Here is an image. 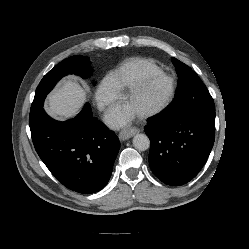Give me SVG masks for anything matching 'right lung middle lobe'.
I'll use <instances>...</instances> for the list:
<instances>
[{
  "label": "right lung middle lobe",
  "mask_w": 249,
  "mask_h": 249,
  "mask_svg": "<svg viewBox=\"0 0 249 249\" xmlns=\"http://www.w3.org/2000/svg\"><path fill=\"white\" fill-rule=\"evenodd\" d=\"M76 74L86 78L91 74L90 60L86 56L69 57L50 70L39 83L31 106L29 121L33 120L43 107L46 95L63 76Z\"/></svg>",
  "instance_id": "right-lung-middle-lobe-1"
}]
</instances>
